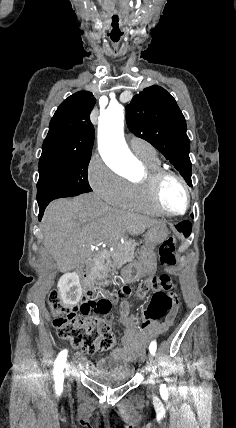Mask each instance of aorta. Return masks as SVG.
I'll return each mask as SVG.
<instances>
[{
	"label": "aorta",
	"instance_id": "aorta-1",
	"mask_svg": "<svg viewBox=\"0 0 236 428\" xmlns=\"http://www.w3.org/2000/svg\"><path fill=\"white\" fill-rule=\"evenodd\" d=\"M123 128L124 107L109 106L99 117L98 148L107 164L128 175L137 160L125 142Z\"/></svg>",
	"mask_w": 236,
	"mask_h": 428
}]
</instances>
